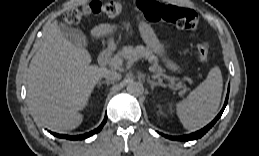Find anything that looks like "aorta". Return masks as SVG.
<instances>
[{
  "label": "aorta",
  "instance_id": "aorta-1",
  "mask_svg": "<svg viewBox=\"0 0 259 156\" xmlns=\"http://www.w3.org/2000/svg\"><path fill=\"white\" fill-rule=\"evenodd\" d=\"M144 91L143 85L141 82L138 81H131L127 85V92L134 96L142 95Z\"/></svg>",
  "mask_w": 259,
  "mask_h": 156
}]
</instances>
